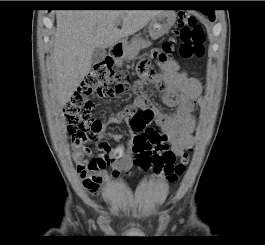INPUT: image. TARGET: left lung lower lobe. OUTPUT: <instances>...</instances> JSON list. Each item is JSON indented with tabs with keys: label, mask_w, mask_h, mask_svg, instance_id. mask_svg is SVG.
Segmentation results:
<instances>
[{
	"label": "left lung lower lobe",
	"mask_w": 265,
	"mask_h": 245,
	"mask_svg": "<svg viewBox=\"0 0 265 245\" xmlns=\"http://www.w3.org/2000/svg\"><path fill=\"white\" fill-rule=\"evenodd\" d=\"M203 13L207 14L209 16V19L213 21V10H201Z\"/></svg>",
	"instance_id": "1"
}]
</instances>
